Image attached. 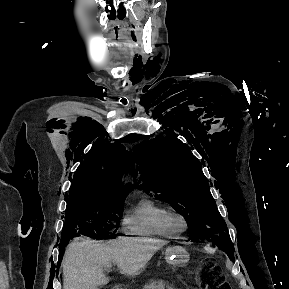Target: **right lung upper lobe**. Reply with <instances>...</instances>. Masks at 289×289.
<instances>
[{
    "label": "right lung upper lobe",
    "mask_w": 289,
    "mask_h": 289,
    "mask_svg": "<svg viewBox=\"0 0 289 289\" xmlns=\"http://www.w3.org/2000/svg\"><path fill=\"white\" fill-rule=\"evenodd\" d=\"M131 153L123 145L97 144L86 154L72 179L69 199L83 196L123 195L132 189L122 187L120 175ZM68 198V197H67Z\"/></svg>",
    "instance_id": "right-lung-upper-lobe-1"
}]
</instances>
